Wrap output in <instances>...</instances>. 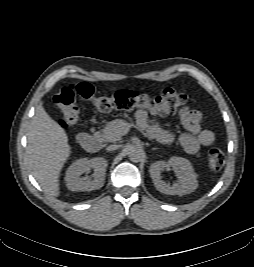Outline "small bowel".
Returning a JSON list of instances; mask_svg holds the SVG:
<instances>
[{
  "instance_id": "small-bowel-1",
  "label": "small bowel",
  "mask_w": 254,
  "mask_h": 267,
  "mask_svg": "<svg viewBox=\"0 0 254 267\" xmlns=\"http://www.w3.org/2000/svg\"><path fill=\"white\" fill-rule=\"evenodd\" d=\"M139 124L146 128L148 136L160 143L167 144L175 139V136L155 124H148V117L144 111L136 114ZM178 119L186 129V133L179 136V142L189 154H196L201 146H209L215 140L212 131L202 128V114L189 107L182 108L178 113Z\"/></svg>"
}]
</instances>
